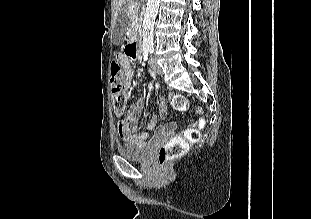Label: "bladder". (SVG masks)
<instances>
[{"mask_svg":"<svg viewBox=\"0 0 311 219\" xmlns=\"http://www.w3.org/2000/svg\"><path fill=\"white\" fill-rule=\"evenodd\" d=\"M116 150L121 157L131 161H143L149 156L150 153V149L147 146H118Z\"/></svg>","mask_w":311,"mask_h":219,"instance_id":"obj_1","label":"bladder"}]
</instances>
